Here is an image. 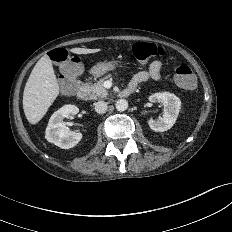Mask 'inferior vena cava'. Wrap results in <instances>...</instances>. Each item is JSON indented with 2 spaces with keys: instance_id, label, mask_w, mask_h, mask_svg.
I'll use <instances>...</instances> for the list:
<instances>
[{
  "instance_id": "602c4592",
  "label": "inferior vena cava",
  "mask_w": 232,
  "mask_h": 232,
  "mask_svg": "<svg viewBox=\"0 0 232 232\" xmlns=\"http://www.w3.org/2000/svg\"><path fill=\"white\" fill-rule=\"evenodd\" d=\"M94 105L95 111L99 114H103L107 111L108 105L105 101H98Z\"/></svg>"
}]
</instances>
